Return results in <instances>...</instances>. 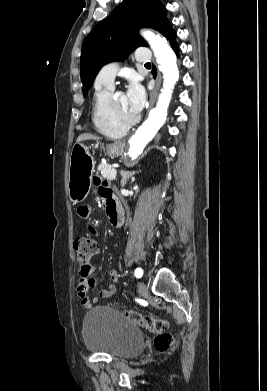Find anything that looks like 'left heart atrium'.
Segmentation results:
<instances>
[{
	"instance_id": "obj_1",
	"label": "left heart atrium",
	"mask_w": 267,
	"mask_h": 391,
	"mask_svg": "<svg viewBox=\"0 0 267 391\" xmlns=\"http://www.w3.org/2000/svg\"><path fill=\"white\" fill-rule=\"evenodd\" d=\"M126 97L131 111L138 114L144 105L145 92L143 87L135 80H133L127 90Z\"/></svg>"
}]
</instances>
